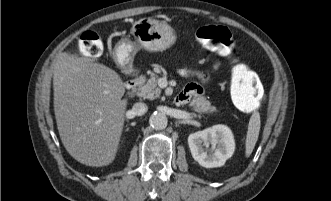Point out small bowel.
<instances>
[{"label":"small bowel","instance_id":"obj_1","mask_svg":"<svg viewBox=\"0 0 331 201\" xmlns=\"http://www.w3.org/2000/svg\"><path fill=\"white\" fill-rule=\"evenodd\" d=\"M220 66V63L217 62L214 66L213 69H217ZM181 73L183 75H196L197 77H199L201 80L205 81L208 77L205 74H199L196 72H193L189 69L183 68L181 70ZM202 94V87L199 84L196 83H191L188 84L177 96L176 101L178 104H184L196 97H198L199 95Z\"/></svg>","mask_w":331,"mask_h":201}]
</instances>
